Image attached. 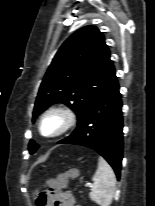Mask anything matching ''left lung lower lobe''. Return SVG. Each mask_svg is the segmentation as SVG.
Wrapping results in <instances>:
<instances>
[{"label":"left lung lower lobe","mask_w":155,"mask_h":206,"mask_svg":"<svg viewBox=\"0 0 155 206\" xmlns=\"http://www.w3.org/2000/svg\"><path fill=\"white\" fill-rule=\"evenodd\" d=\"M122 129L121 94L117 77L114 76L80 117L73 133L58 143L95 150L112 166L119 179L123 158Z\"/></svg>","instance_id":"obj_1"}]
</instances>
